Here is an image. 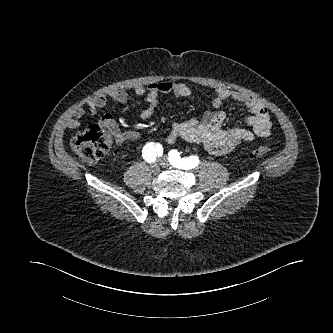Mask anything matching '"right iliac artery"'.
Instances as JSON below:
<instances>
[{
    "label": "right iliac artery",
    "mask_w": 333,
    "mask_h": 333,
    "mask_svg": "<svg viewBox=\"0 0 333 333\" xmlns=\"http://www.w3.org/2000/svg\"><path fill=\"white\" fill-rule=\"evenodd\" d=\"M143 158L149 162H155L157 157L163 155V148L160 144H155L153 142L148 143L142 150Z\"/></svg>",
    "instance_id": "1"
}]
</instances>
